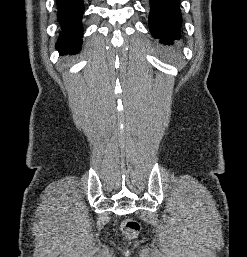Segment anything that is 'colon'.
Masks as SVG:
<instances>
[{"label": "colon", "mask_w": 247, "mask_h": 257, "mask_svg": "<svg viewBox=\"0 0 247 257\" xmlns=\"http://www.w3.org/2000/svg\"><path fill=\"white\" fill-rule=\"evenodd\" d=\"M121 229L127 238L133 239L139 234L141 227L138 221L126 219L123 221Z\"/></svg>", "instance_id": "1"}]
</instances>
